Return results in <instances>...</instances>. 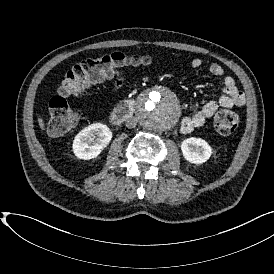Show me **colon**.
Wrapping results in <instances>:
<instances>
[{"instance_id":"1","label":"colon","mask_w":274,"mask_h":274,"mask_svg":"<svg viewBox=\"0 0 274 274\" xmlns=\"http://www.w3.org/2000/svg\"><path fill=\"white\" fill-rule=\"evenodd\" d=\"M149 62L146 56L112 52L86 58L74 65L63 77L57 93L49 99L48 135L59 137L76 126L79 113L70 107L68 97L79 96L95 84L124 75L123 68ZM238 124V114L231 110H219L213 119L214 129L220 135H230L237 129Z\"/></svg>"}]
</instances>
